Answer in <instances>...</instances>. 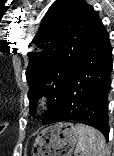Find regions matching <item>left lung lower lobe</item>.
<instances>
[{
  "mask_svg": "<svg viewBox=\"0 0 114 156\" xmlns=\"http://www.w3.org/2000/svg\"><path fill=\"white\" fill-rule=\"evenodd\" d=\"M112 47L98 17L65 90L60 109L47 122L74 120L100 130L108 140V92Z\"/></svg>",
  "mask_w": 114,
  "mask_h": 156,
  "instance_id": "left-lung-lower-lobe-1",
  "label": "left lung lower lobe"
}]
</instances>
